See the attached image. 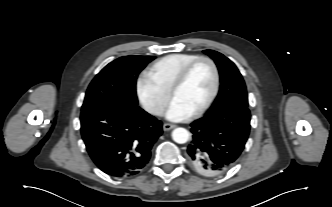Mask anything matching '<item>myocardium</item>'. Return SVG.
Masks as SVG:
<instances>
[{"mask_svg": "<svg viewBox=\"0 0 332 207\" xmlns=\"http://www.w3.org/2000/svg\"><path fill=\"white\" fill-rule=\"evenodd\" d=\"M200 62H206L210 65L213 72L214 81L210 95L208 96L206 101L192 113V116H199L203 114L212 105L218 94L220 87V72L216 62L212 58L207 56H199L195 58L182 68L170 88V96L173 98L174 93L185 83L191 70Z\"/></svg>", "mask_w": 332, "mask_h": 207, "instance_id": "f54148a6", "label": "myocardium"}]
</instances>
